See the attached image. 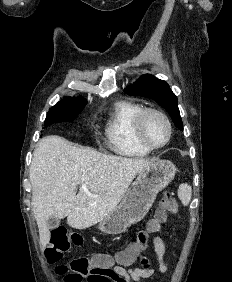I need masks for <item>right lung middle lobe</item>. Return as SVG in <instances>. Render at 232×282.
<instances>
[{
	"instance_id": "obj_1",
	"label": "right lung middle lobe",
	"mask_w": 232,
	"mask_h": 282,
	"mask_svg": "<svg viewBox=\"0 0 232 282\" xmlns=\"http://www.w3.org/2000/svg\"><path fill=\"white\" fill-rule=\"evenodd\" d=\"M85 105V100L59 102L49 109L44 125L71 122L79 115Z\"/></svg>"
}]
</instances>
